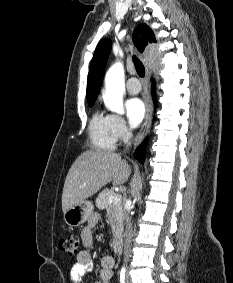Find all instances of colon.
I'll return each mask as SVG.
<instances>
[{
    "label": "colon",
    "instance_id": "colon-1",
    "mask_svg": "<svg viewBox=\"0 0 233 283\" xmlns=\"http://www.w3.org/2000/svg\"><path fill=\"white\" fill-rule=\"evenodd\" d=\"M59 248L70 255H76L79 252V238L71 234L59 241Z\"/></svg>",
    "mask_w": 233,
    "mask_h": 283
}]
</instances>
